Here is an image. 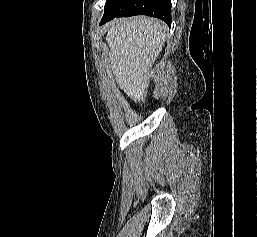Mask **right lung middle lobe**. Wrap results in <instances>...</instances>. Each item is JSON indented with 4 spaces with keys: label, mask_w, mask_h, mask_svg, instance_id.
Segmentation results:
<instances>
[{
    "label": "right lung middle lobe",
    "mask_w": 257,
    "mask_h": 237,
    "mask_svg": "<svg viewBox=\"0 0 257 237\" xmlns=\"http://www.w3.org/2000/svg\"><path fill=\"white\" fill-rule=\"evenodd\" d=\"M114 0H107L105 3V8L109 6Z\"/></svg>",
    "instance_id": "obj_1"
}]
</instances>
